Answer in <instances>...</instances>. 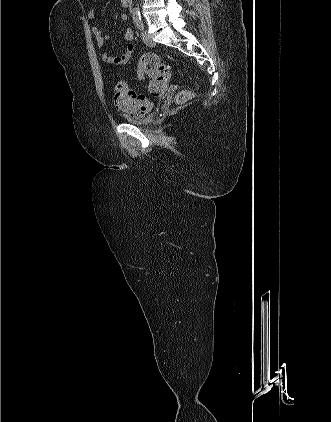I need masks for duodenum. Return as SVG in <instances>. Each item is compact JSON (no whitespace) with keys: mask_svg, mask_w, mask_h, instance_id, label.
<instances>
[{"mask_svg":"<svg viewBox=\"0 0 331 422\" xmlns=\"http://www.w3.org/2000/svg\"><path fill=\"white\" fill-rule=\"evenodd\" d=\"M124 6H127L129 4L130 0H121Z\"/></svg>","mask_w":331,"mask_h":422,"instance_id":"duodenum-1","label":"duodenum"}]
</instances>
